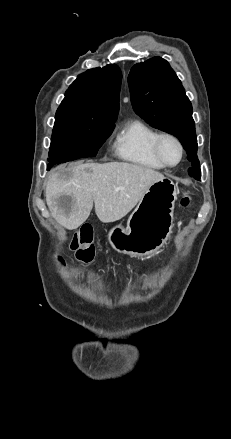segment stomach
<instances>
[{
    "label": "stomach",
    "instance_id": "0dacf381",
    "mask_svg": "<svg viewBox=\"0 0 231 439\" xmlns=\"http://www.w3.org/2000/svg\"><path fill=\"white\" fill-rule=\"evenodd\" d=\"M178 193L176 184L168 178L153 183L130 215L126 228L115 226L108 233L112 248L134 257L159 250L172 232Z\"/></svg>",
    "mask_w": 231,
    "mask_h": 439
}]
</instances>
